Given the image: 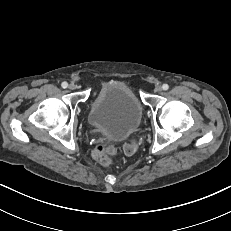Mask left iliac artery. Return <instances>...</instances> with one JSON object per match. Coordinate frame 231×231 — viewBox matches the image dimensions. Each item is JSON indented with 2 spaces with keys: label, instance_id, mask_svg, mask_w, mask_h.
Segmentation results:
<instances>
[{
  "label": "left iliac artery",
  "instance_id": "left-iliac-artery-1",
  "mask_svg": "<svg viewBox=\"0 0 231 231\" xmlns=\"http://www.w3.org/2000/svg\"><path fill=\"white\" fill-rule=\"evenodd\" d=\"M162 88H163V90H168L169 89V85L168 84H163Z\"/></svg>",
  "mask_w": 231,
  "mask_h": 231
}]
</instances>
